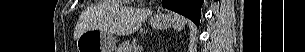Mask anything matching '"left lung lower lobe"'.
Wrapping results in <instances>:
<instances>
[{
	"label": "left lung lower lobe",
	"instance_id": "left-lung-lower-lobe-1",
	"mask_svg": "<svg viewBox=\"0 0 305 52\" xmlns=\"http://www.w3.org/2000/svg\"><path fill=\"white\" fill-rule=\"evenodd\" d=\"M203 0H164L163 5L169 10L192 20L196 25L200 23L201 6Z\"/></svg>",
	"mask_w": 305,
	"mask_h": 52
}]
</instances>
